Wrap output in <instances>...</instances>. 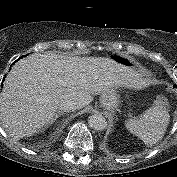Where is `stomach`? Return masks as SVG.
Returning <instances> with one entry per match:
<instances>
[{"mask_svg":"<svg viewBox=\"0 0 177 177\" xmlns=\"http://www.w3.org/2000/svg\"><path fill=\"white\" fill-rule=\"evenodd\" d=\"M116 59L122 63H129V59L126 57L118 56ZM100 103L102 107L107 110L117 109L120 103V96L118 94L117 88L102 93L100 96Z\"/></svg>","mask_w":177,"mask_h":177,"instance_id":"0dacf381","label":"stomach"}]
</instances>
